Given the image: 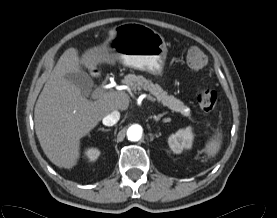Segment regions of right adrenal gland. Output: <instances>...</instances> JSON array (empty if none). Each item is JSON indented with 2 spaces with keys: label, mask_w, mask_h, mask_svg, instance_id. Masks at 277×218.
<instances>
[{
  "label": "right adrenal gland",
  "mask_w": 277,
  "mask_h": 218,
  "mask_svg": "<svg viewBox=\"0 0 277 218\" xmlns=\"http://www.w3.org/2000/svg\"><path fill=\"white\" fill-rule=\"evenodd\" d=\"M99 130L104 131V132L110 131V129H105V128H100Z\"/></svg>",
  "instance_id": "2a0ac1e0"
}]
</instances>
